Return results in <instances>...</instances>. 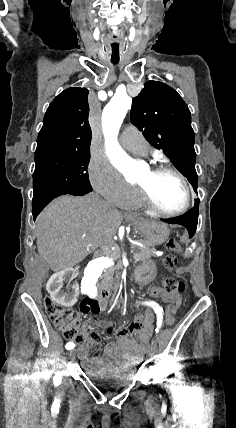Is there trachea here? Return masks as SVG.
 Here are the masks:
<instances>
[{
	"label": "trachea",
	"instance_id": "3493384b",
	"mask_svg": "<svg viewBox=\"0 0 236 428\" xmlns=\"http://www.w3.org/2000/svg\"><path fill=\"white\" fill-rule=\"evenodd\" d=\"M109 40L112 41V44L114 46H111L109 48V52H108V62L109 64H120L121 59H122V52L120 51L119 45H120V40L117 39L115 34H110L109 35Z\"/></svg>",
	"mask_w": 236,
	"mask_h": 428
}]
</instances>
